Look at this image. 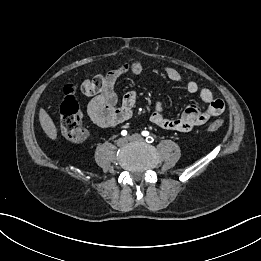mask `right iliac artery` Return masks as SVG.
I'll use <instances>...</instances> for the list:
<instances>
[{
  "label": "right iliac artery",
  "mask_w": 261,
  "mask_h": 261,
  "mask_svg": "<svg viewBox=\"0 0 261 261\" xmlns=\"http://www.w3.org/2000/svg\"><path fill=\"white\" fill-rule=\"evenodd\" d=\"M121 135H122V136H126V135H127V131H126V130H123V131L121 132Z\"/></svg>",
  "instance_id": "1"
}]
</instances>
